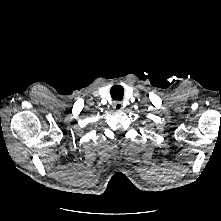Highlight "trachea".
Wrapping results in <instances>:
<instances>
[{"label":"trachea","instance_id":"3493384b","mask_svg":"<svg viewBox=\"0 0 221 221\" xmlns=\"http://www.w3.org/2000/svg\"><path fill=\"white\" fill-rule=\"evenodd\" d=\"M110 94L113 100L121 101L124 95V88L121 85H114L110 89Z\"/></svg>","mask_w":221,"mask_h":221}]
</instances>
